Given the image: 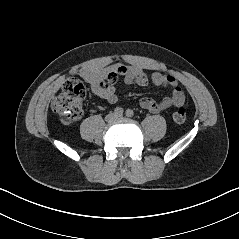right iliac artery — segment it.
I'll use <instances>...</instances> for the list:
<instances>
[{
    "instance_id": "right-iliac-artery-1",
    "label": "right iliac artery",
    "mask_w": 239,
    "mask_h": 239,
    "mask_svg": "<svg viewBox=\"0 0 239 239\" xmlns=\"http://www.w3.org/2000/svg\"><path fill=\"white\" fill-rule=\"evenodd\" d=\"M123 112H124V110H123L121 107H117V108H115V110H114V113H115L116 115H123Z\"/></svg>"
}]
</instances>
